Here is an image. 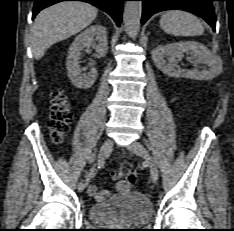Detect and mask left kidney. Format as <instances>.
Wrapping results in <instances>:
<instances>
[{"label":"left kidney","mask_w":234,"mask_h":231,"mask_svg":"<svg viewBox=\"0 0 234 231\" xmlns=\"http://www.w3.org/2000/svg\"><path fill=\"white\" fill-rule=\"evenodd\" d=\"M190 52L197 63L207 65L209 69L199 71L193 69L188 73H180L176 70L174 62L183 56V53ZM165 58H168V63ZM152 59L155 65L164 74L171 77H186L193 80H211L222 72V60L213 55L203 44L196 41H182L167 45H160L153 49Z\"/></svg>","instance_id":"5707ae66"}]
</instances>
